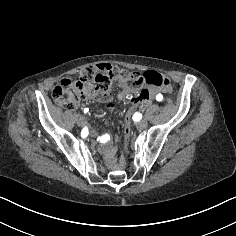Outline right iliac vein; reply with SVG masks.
<instances>
[{"mask_svg":"<svg viewBox=\"0 0 236 236\" xmlns=\"http://www.w3.org/2000/svg\"><path fill=\"white\" fill-rule=\"evenodd\" d=\"M91 136H96V131H91Z\"/></svg>","mask_w":236,"mask_h":236,"instance_id":"obj_1","label":"right iliac vein"}]
</instances>
